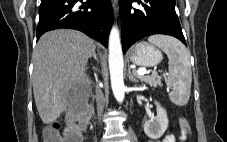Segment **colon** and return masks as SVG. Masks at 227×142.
<instances>
[{
  "label": "colon",
  "instance_id": "colon-1",
  "mask_svg": "<svg viewBox=\"0 0 227 142\" xmlns=\"http://www.w3.org/2000/svg\"><path fill=\"white\" fill-rule=\"evenodd\" d=\"M87 123L86 112H75L71 114L67 127L62 128L59 123L47 126L43 132L44 142H81V132ZM181 136L183 140L190 137V129L185 118L180 119Z\"/></svg>",
  "mask_w": 227,
  "mask_h": 142
}]
</instances>
